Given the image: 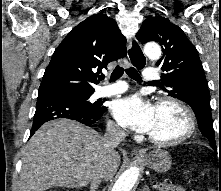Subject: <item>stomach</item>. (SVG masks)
Wrapping results in <instances>:
<instances>
[{
  "instance_id": "0dacf381",
  "label": "stomach",
  "mask_w": 221,
  "mask_h": 191,
  "mask_svg": "<svg viewBox=\"0 0 221 191\" xmlns=\"http://www.w3.org/2000/svg\"><path fill=\"white\" fill-rule=\"evenodd\" d=\"M137 161L145 163L151 169L159 173L168 171L172 164L170 154L160 148L152 150L144 157L137 158Z\"/></svg>"
}]
</instances>
